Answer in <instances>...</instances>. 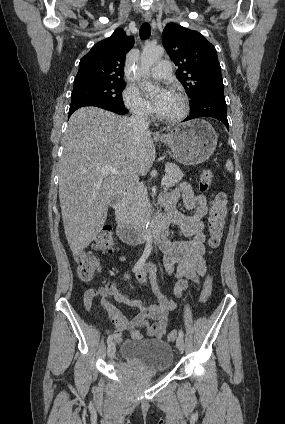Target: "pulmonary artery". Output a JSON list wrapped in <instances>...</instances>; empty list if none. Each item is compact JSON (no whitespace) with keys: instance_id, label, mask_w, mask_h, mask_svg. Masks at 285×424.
Segmentation results:
<instances>
[{"instance_id":"pulmonary-artery-1","label":"pulmonary artery","mask_w":285,"mask_h":424,"mask_svg":"<svg viewBox=\"0 0 285 424\" xmlns=\"http://www.w3.org/2000/svg\"><path fill=\"white\" fill-rule=\"evenodd\" d=\"M171 62L168 59H162L153 66L149 74L156 79H166L171 76Z\"/></svg>"}]
</instances>
